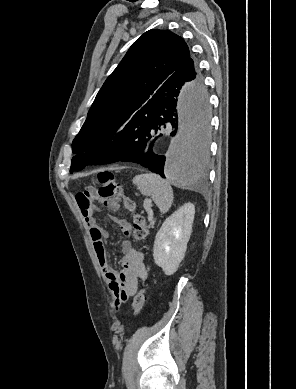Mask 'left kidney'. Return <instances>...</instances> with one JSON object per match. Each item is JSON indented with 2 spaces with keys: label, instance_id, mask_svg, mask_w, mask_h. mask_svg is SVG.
I'll return each mask as SVG.
<instances>
[{
  "label": "left kidney",
  "instance_id": "5707ae66",
  "mask_svg": "<svg viewBox=\"0 0 296 389\" xmlns=\"http://www.w3.org/2000/svg\"><path fill=\"white\" fill-rule=\"evenodd\" d=\"M194 215L195 206L184 204L163 222L155 236L154 262L166 275L174 274L185 256Z\"/></svg>",
  "mask_w": 296,
  "mask_h": 389
}]
</instances>
